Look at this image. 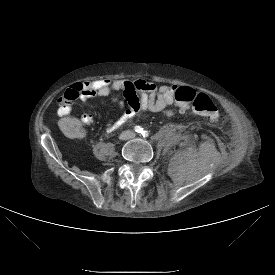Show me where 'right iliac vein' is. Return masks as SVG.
I'll list each match as a JSON object with an SVG mask.
<instances>
[{
  "label": "right iliac vein",
  "instance_id": "1",
  "mask_svg": "<svg viewBox=\"0 0 275 275\" xmlns=\"http://www.w3.org/2000/svg\"><path fill=\"white\" fill-rule=\"evenodd\" d=\"M128 138H129V134H128V133L122 134V135L120 136V139H121V140H126V139H128Z\"/></svg>",
  "mask_w": 275,
  "mask_h": 275
}]
</instances>
